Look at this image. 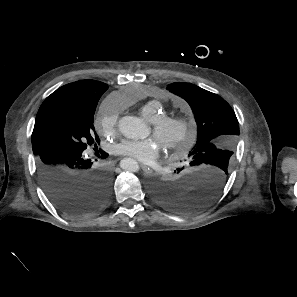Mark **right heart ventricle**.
I'll list each match as a JSON object with an SVG mask.
<instances>
[{"label": "right heart ventricle", "instance_id": "obj_1", "mask_svg": "<svg viewBox=\"0 0 297 297\" xmlns=\"http://www.w3.org/2000/svg\"><path fill=\"white\" fill-rule=\"evenodd\" d=\"M140 113L151 123L166 114L164 110V103L160 99H153L143 104L140 107Z\"/></svg>", "mask_w": 297, "mask_h": 297}]
</instances>
